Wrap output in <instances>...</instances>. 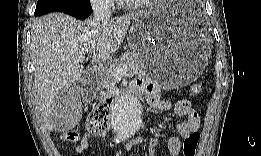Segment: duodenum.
Returning a JSON list of instances; mask_svg holds the SVG:
<instances>
[{
    "instance_id": "duodenum-1",
    "label": "duodenum",
    "mask_w": 261,
    "mask_h": 156,
    "mask_svg": "<svg viewBox=\"0 0 261 156\" xmlns=\"http://www.w3.org/2000/svg\"><path fill=\"white\" fill-rule=\"evenodd\" d=\"M126 94H127L128 97H132L133 98V97H135L137 95V92L135 91L134 88H129L127 90ZM114 101H115V97H113V96L104 98V104H106L108 106H110V104H113Z\"/></svg>"
}]
</instances>
